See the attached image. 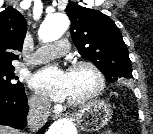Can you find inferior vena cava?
Masks as SVG:
<instances>
[{"instance_id":"inferior-vena-cava-1","label":"inferior vena cava","mask_w":153,"mask_h":134,"mask_svg":"<svg viewBox=\"0 0 153 134\" xmlns=\"http://www.w3.org/2000/svg\"><path fill=\"white\" fill-rule=\"evenodd\" d=\"M50 106L51 104L47 98L37 97L29 101L27 123L32 132L38 131L46 123Z\"/></svg>"}]
</instances>
